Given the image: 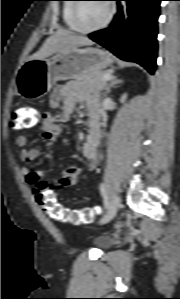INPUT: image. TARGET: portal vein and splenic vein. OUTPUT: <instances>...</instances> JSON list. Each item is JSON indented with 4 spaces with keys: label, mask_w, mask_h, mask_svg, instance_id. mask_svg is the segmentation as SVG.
I'll return each mask as SVG.
<instances>
[{
    "label": "portal vein and splenic vein",
    "mask_w": 180,
    "mask_h": 299,
    "mask_svg": "<svg viewBox=\"0 0 180 299\" xmlns=\"http://www.w3.org/2000/svg\"><path fill=\"white\" fill-rule=\"evenodd\" d=\"M112 79V76H111V74H106L104 77H103V81H109V80H111Z\"/></svg>",
    "instance_id": "portal-vein-and-splenic-vein-1"
}]
</instances>
